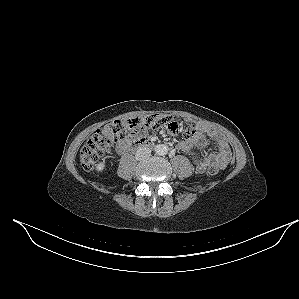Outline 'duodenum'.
<instances>
[{
  "mask_svg": "<svg viewBox=\"0 0 299 299\" xmlns=\"http://www.w3.org/2000/svg\"><path fill=\"white\" fill-rule=\"evenodd\" d=\"M154 142L148 138H139L133 141L132 147L134 148H142V147H150L153 146Z\"/></svg>",
  "mask_w": 299,
  "mask_h": 299,
  "instance_id": "1",
  "label": "duodenum"
}]
</instances>
